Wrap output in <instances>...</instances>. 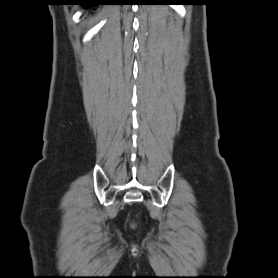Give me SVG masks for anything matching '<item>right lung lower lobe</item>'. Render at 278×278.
Returning <instances> with one entry per match:
<instances>
[{"label": "right lung lower lobe", "mask_w": 278, "mask_h": 278, "mask_svg": "<svg viewBox=\"0 0 278 278\" xmlns=\"http://www.w3.org/2000/svg\"><path fill=\"white\" fill-rule=\"evenodd\" d=\"M99 3L94 2V0H84V2L81 4L83 6H91V5H98Z\"/></svg>", "instance_id": "1"}]
</instances>
